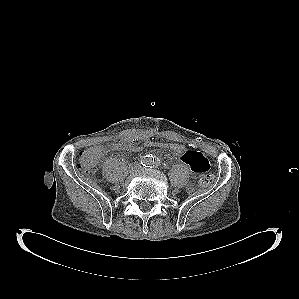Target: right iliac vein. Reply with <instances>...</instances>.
Returning a JSON list of instances; mask_svg holds the SVG:
<instances>
[{
	"instance_id": "63e3f726",
	"label": "right iliac vein",
	"mask_w": 299,
	"mask_h": 299,
	"mask_svg": "<svg viewBox=\"0 0 299 299\" xmlns=\"http://www.w3.org/2000/svg\"><path fill=\"white\" fill-rule=\"evenodd\" d=\"M135 169V166H131L130 170L133 171Z\"/></svg>"
}]
</instances>
